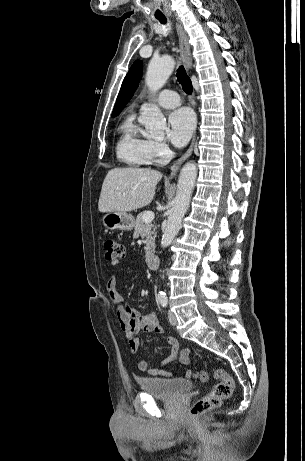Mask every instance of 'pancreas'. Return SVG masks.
<instances>
[{
    "label": "pancreas",
    "instance_id": "pancreas-1",
    "mask_svg": "<svg viewBox=\"0 0 305 461\" xmlns=\"http://www.w3.org/2000/svg\"><path fill=\"white\" fill-rule=\"evenodd\" d=\"M145 212H141L137 215L134 224V237L141 235L145 237L144 243L146 244L145 253L149 255L151 251L155 248V238H156V226L154 224L145 223L143 220V215Z\"/></svg>",
    "mask_w": 305,
    "mask_h": 461
}]
</instances>
